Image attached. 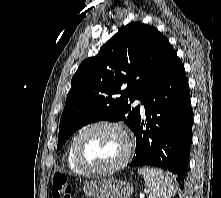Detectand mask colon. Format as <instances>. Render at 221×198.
<instances>
[{
  "label": "colon",
  "instance_id": "5ec220e1",
  "mask_svg": "<svg viewBox=\"0 0 221 198\" xmlns=\"http://www.w3.org/2000/svg\"><path fill=\"white\" fill-rule=\"evenodd\" d=\"M53 198H73L72 189L68 184L67 178L63 174H56L52 185Z\"/></svg>",
  "mask_w": 221,
  "mask_h": 198
}]
</instances>
